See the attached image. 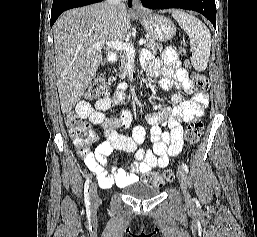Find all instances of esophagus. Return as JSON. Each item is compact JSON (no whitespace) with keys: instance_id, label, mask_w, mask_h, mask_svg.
Returning a JSON list of instances; mask_svg holds the SVG:
<instances>
[{"instance_id":"1","label":"esophagus","mask_w":257,"mask_h":237,"mask_svg":"<svg viewBox=\"0 0 257 237\" xmlns=\"http://www.w3.org/2000/svg\"><path fill=\"white\" fill-rule=\"evenodd\" d=\"M133 11L136 13H140L144 11V8L140 0H133Z\"/></svg>"}]
</instances>
